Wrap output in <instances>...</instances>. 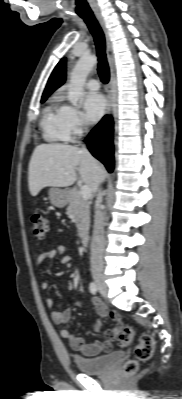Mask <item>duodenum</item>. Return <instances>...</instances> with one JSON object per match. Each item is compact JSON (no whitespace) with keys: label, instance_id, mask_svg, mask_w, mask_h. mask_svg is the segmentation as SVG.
I'll return each instance as SVG.
<instances>
[{"label":"duodenum","instance_id":"410a0bca","mask_svg":"<svg viewBox=\"0 0 182 399\" xmlns=\"http://www.w3.org/2000/svg\"><path fill=\"white\" fill-rule=\"evenodd\" d=\"M81 240H82V244H83L84 246H87L88 243H89V234H88L87 232L83 233V234L81 235Z\"/></svg>","mask_w":182,"mask_h":399}]
</instances>
